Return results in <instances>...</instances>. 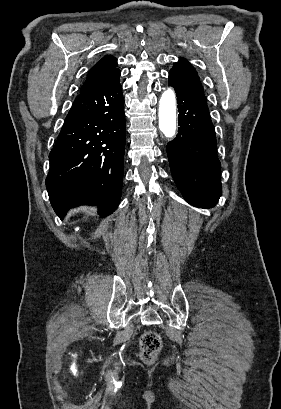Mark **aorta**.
<instances>
[{
  "instance_id": "762f6f07",
  "label": "aorta",
  "mask_w": 281,
  "mask_h": 409,
  "mask_svg": "<svg viewBox=\"0 0 281 409\" xmlns=\"http://www.w3.org/2000/svg\"><path fill=\"white\" fill-rule=\"evenodd\" d=\"M159 128L163 134L171 138L176 133V97L171 88L165 90L159 101Z\"/></svg>"
}]
</instances>
